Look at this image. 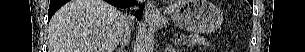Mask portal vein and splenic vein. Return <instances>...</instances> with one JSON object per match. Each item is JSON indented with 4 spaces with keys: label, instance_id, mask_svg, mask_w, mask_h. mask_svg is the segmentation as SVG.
Wrapping results in <instances>:
<instances>
[{
    "label": "portal vein and splenic vein",
    "instance_id": "portal-vein-and-splenic-vein-1",
    "mask_svg": "<svg viewBox=\"0 0 305 52\" xmlns=\"http://www.w3.org/2000/svg\"><path fill=\"white\" fill-rule=\"evenodd\" d=\"M180 42H182V39H175L174 44L177 45V44H179Z\"/></svg>",
    "mask_w": 305,
    "mask_h": 52
}]
</instances>
